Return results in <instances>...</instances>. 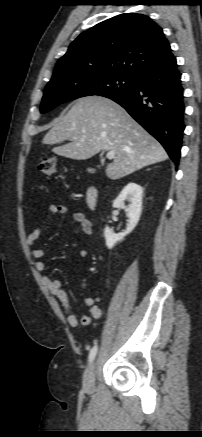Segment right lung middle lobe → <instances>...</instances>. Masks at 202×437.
I'll list each match as a JSON object with an SVG mask.
<instances>
[{
    "instance_id": "obj_1",
    "label": "right lung middle lobe",
    "mask_w": 202,
    "mask_h": 437,
    "mask_svg": "<svg viewBox=\"0 0 202 437\" xmlns=\"http://www.w3.org/2000/svg\"><path fill=\"white\" fill-rule=\"evenodd\" d=\"M136 78L120 73L98 75H67L51 80L44 91L41 113L56 106L84 96L110 97L128 91Z\"/></svg>"
}]
</instances>
